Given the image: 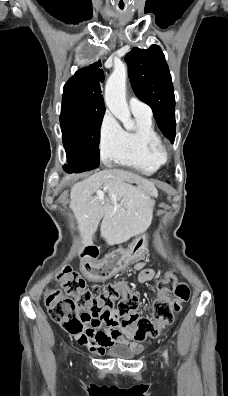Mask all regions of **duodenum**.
Here are the masks:
<instances>
[{
	"mask_svg": "<svg viewBox=\"0 0 228 396\" xmlns=\"http://www.w3.org/2000/svg\"><path fill=\"white\" fill-rule=\"evenodd\" d=\"M93 251H96V247H94V246H89V247L87 248L86 253H91V252H93Z\"/></svg>",
	"mask_w": 228,
	"mask_h": 396,
	"instance_id": "obj_1",
	"label": "duodenum"
}]
</instances>
